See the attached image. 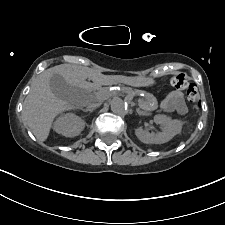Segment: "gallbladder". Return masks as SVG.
Returning <instances> with one entry per match:
<instances>
[{
	"label": "gallbladder",
	"instance_id": "bac80fb5",
	"mask_svg": "<svg viewBox=\"0 0 225 225\" xmlns=\"http://www.w3.org/2000/svg\"><path fill=\"white\" fill-rule=\"evenodd\" d=\"M50 89L53 94L66 102H73L83 90L68 84L60 74H53L50 78Z\"/></svg>",
	"mask_w": 225,
	"mask_h": 225
}]
</instances>
